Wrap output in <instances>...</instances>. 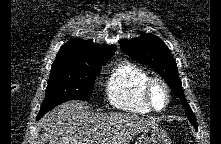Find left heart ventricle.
Here are the masks:
<instances>
[{"label":"left heart ventricle","mask_w":221,"mask_h":144,"mask_svg":"<svg viewBox=\"0 0 221 144\" xmlns=\"http://www.w3.org/2000/svg\"><path fill=\"white\" fill-rule=\"evenodd\" d=\"M152 99L155 107L157 108H162L165 105L166 95L165 91L160 85H156L153 88Z\"/></svg>","instance_id":"left-heart-ventricle-1"}]
</instances>
